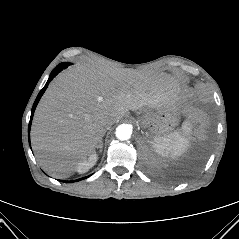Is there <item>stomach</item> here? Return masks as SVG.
<instances>
[{
  "mask_svg": "<svg viewBox=\"0 0 239 239\" xmlns=\"http://www.w3.org/2000/svg\"><path fill=\"white\" fill-rule=\"evenodd\" d=\"M181 113L177 108H161L155 111L154 120L149 127L154 138L169 134L178 125Z\"/></svg>",
  "mask_w": 239,
  "mask_h": 239,
  "instance_id": "0dacf381",
  "label": "stomach"
}]
</instances>
